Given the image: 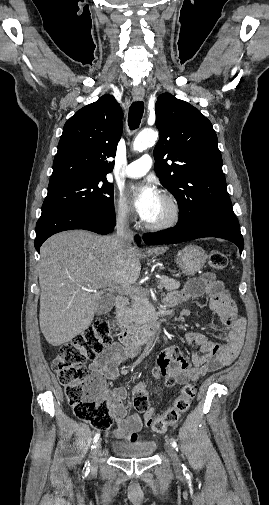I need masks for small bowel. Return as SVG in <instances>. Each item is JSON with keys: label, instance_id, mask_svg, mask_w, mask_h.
Returning <instances> with one entry per match:
<instances>
[{"label": "small bowel", "instance_id": "1", "mask_svg": "<svg viewBox=\"0 0 269 505\" xmlns=\"http://www.w3.org/2000/svg\"><path fill=\"white\" fill-rule=\"evenodd\" d=\"M202 296L209 298L210 308L229 330L220 344L203 333H188V343L199 347V351L192 352L189 359L176 346L168 347L160 352L156 359L154 373L157 376L172 379L179 385L230 365L238 356L243 343L245 319L239 315L236 304L223 282L217 280L213 273H205L188 282L181 291L170 293L165 298V303L173 307L188 299ZM131 354H134L132 347L113 343L90 364V369L92 373L100 376L103 382L115 380L119 374V366ZM127 395V389L124 387L113 390L104 387L105 399L116 421L115 437L136 442L142 429V420L137 413L127 415L123 404Z\"/></svg>", "mask_w": 269, "mask_h": 505}]
</instances>
